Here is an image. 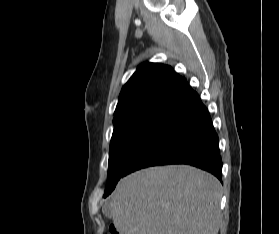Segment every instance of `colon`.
I'll list each match as a JSON object with an SVG mask.
<instances>
[{
  "instance_id": "1",
  "label": "colon",
  "mask_w": 279,
  "mask_h": 234,
  "mask_svg": "<svg viewBox=\"0 0 279 234\" xmlns=\"http://www.w3.org/2000/svg\"><path fill=\"white\" fill-rule=\"evenodd\" d=\"M111 234H119V232L117 231V229L115 227L111 228Z\"/></svg>"
}]
</instances>
